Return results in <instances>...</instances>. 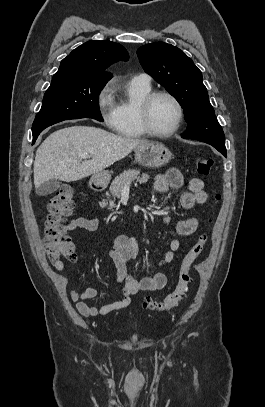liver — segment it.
Returning a JSON list of instances; mask_svg holds the SVG:
<instances>
[{
  "mask_svg": "<svg viewBox=\"0 0 265 407\" xmlns=\"http://www.w3.org/2000/svg\"><path fill=\"white\" fill-rule=\"evenodd\" d=\"M146 140L115 135L89 126H71L50 134L36 151L33 166L36 188L51 179L73 182L103 171ZM89 155L90 160L82 156Z\"/></svg>",
  "mask_w": 265,
  "mask_h": 407,
  "instance_id": "obj_1",
  "label": "liver"
}]
</instances>
